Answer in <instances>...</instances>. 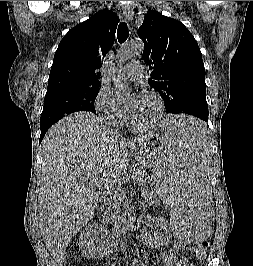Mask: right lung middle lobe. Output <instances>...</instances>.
<instances>
[{
	"instance_id": "dd1d6c3e",
	"label": "right lung middle lobe",
	"mask_w": 253,
	"mask_h": 266,
	"mask_svg": "<svg viewBox=\"0 0 253 266\" xmlns=\"http://www.w3.org/2000/svg\"><path fill=\"white\" fill-rule=\"evenodd\" d=\"M100 85L92 87H69L49 91L45 95L40 129L52 124L73 112L90 111L96 114L94 100Z\"/></svg>"
}]
</instances>
